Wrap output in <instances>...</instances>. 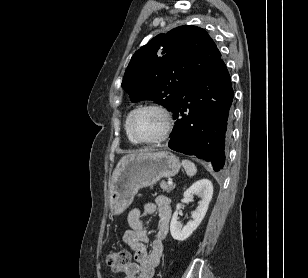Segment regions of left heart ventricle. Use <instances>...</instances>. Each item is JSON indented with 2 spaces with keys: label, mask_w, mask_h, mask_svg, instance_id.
Here are the masks:
<instances>
[{
  "label": "left heart ventricle",
  "mask_w": 308,
  "mask_h": 278,
  "mask_svg": "<svg viewBox=\"0 0 308 278\" xmlns=\"http://www.w3.org/2000/svg\"><path fill=\"white\" fill-rule=\"evenodd\" d=\"M165 128L163 115L154 109L138 111L132 119L134 133L142 139H154L159 137Z\"/></svg>",
  "instance_id": "1"
}]
</instances>
